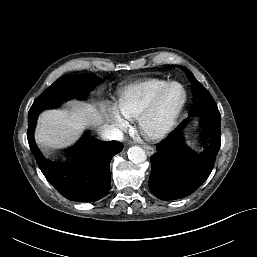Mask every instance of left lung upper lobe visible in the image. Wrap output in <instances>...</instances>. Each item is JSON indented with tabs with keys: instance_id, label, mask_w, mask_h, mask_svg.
<instances>
[{
	"instance_id": "obj_1",
	"label": "left lung upper lobe",
	"mask_w": 257,
	"mask_h": 257,
	"mask_svg": "<svg viewBox=\"0 0 257 257\" xmlns=\"http://www.w3.org/2000/svg\"><path fill=\"white\" fill-rule=\"evenodd\" d=\"M178 67L185 72L189 81L192 83L193 104L190 109V114L200 116L202 123L211 119H220L221 117L217 105L210 93L196 80L188 69L182 66Z\"/></svg>"
}]
</instances>
